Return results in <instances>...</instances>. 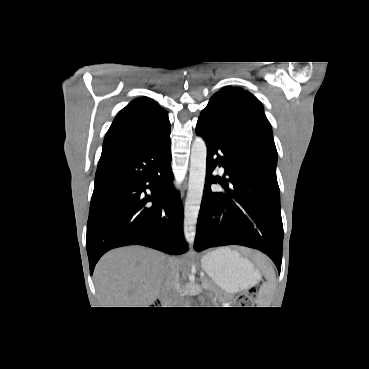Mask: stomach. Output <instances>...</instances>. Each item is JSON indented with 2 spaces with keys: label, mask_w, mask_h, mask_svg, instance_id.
I'll return each instance as SVG.
<instances>
[{
  "label": "stomach",
  "mask_w": 369,
  "mask_h": 369,
  "mask_svg": "<svg viewBox=\"0 0 369 369\" xmlns=\"http://www.w3.org/2000/svg\"><path fill=\"white\" fill-rule=\"evenodd\" d=\"M201 263L208 276L227 293L247 289L260 279L252 262L229 248H219L204 255Z\"/></svg>",
  "instance_id": "stomach-1"
}]
</instances>
